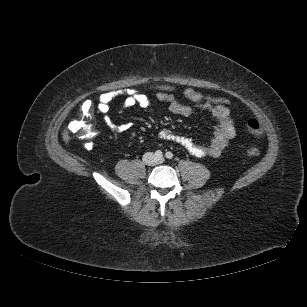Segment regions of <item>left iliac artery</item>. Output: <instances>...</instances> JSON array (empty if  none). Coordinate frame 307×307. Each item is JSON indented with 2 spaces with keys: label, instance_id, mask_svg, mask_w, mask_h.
Masks as SVG:
<instances>
[{
  "label": "left iliac artery",
  "instance_id": "left-iliac-artery-1",
  "mask_svg": "<svg viewBox=\"0 0 307 307\" xmlns=\"http://www.w3.org/2000/svg\"><path fill=\"white\" fill-rule=\"evenodd\" d=\"M165 157L167 158V159H172L173 158V153L172 152H167L166 154H165Z\"/></svg>",
  "mask_w": 307,
  "mask_h": 307
}]
</instances>
